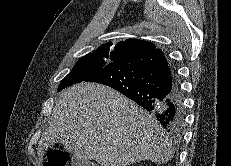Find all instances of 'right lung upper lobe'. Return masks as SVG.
I'll return each instance as SVG.
<instances>
[{
    "instance_id": "cb5924a9",
    "label": "right lung upper lobe",
    "mask_w": 231,
    "mask_h": 166,
    "mask_svg": "<svg viewBox=\"0 0 231 166\" xmlns=\"http://www.w3.org/2000/svg\"><path fill=\"white\" fill-rule=\"evenodd\" d=\"M155 49L156 47L152 42L130 38L117 44H113L112 42L105 43L94 52L107 53L117 57L118 60L128 56L150 52Z\"/></svg>"
}]
</instances>
